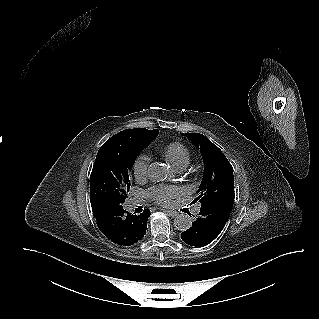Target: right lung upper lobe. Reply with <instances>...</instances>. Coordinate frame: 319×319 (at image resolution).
<instances>
[{
  "instance_id": "1",
  "label": "right lung upper lobe",
  "mask_w": 319,
  "mask_h": 319,
  "mask_svg": "<svg viewBox=\"0 0 319 319\" xmlns=\"http://www.w3.org/2000/svg\"><path fill=\"white\" fill-rule=\"evenodd\" d=\"M157 133V129L148 130L144 128H135L123 130L118 134L124 136L132 142L147 146L157 136Z\"/></svg>"
}]
</instances>
